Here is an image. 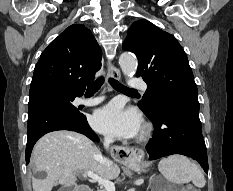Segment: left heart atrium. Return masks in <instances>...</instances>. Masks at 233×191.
Returning <instances> with one entry per match:
<instances>
[{"label": "left heart atrium", "mask_w": 233, "mask_h": 191, "mask_svg": "<svg viewBox=\"0 0 233 191\" xmlns=\"http://www.w3.org/2000/svg\"><path fill=\"white\" fill-rule=\"evenodd\" d=\"M91 122L98 132L121 139L137 136L142 125L140 115L135 110L125 109L119 102H112L98 109Z\"/></svg>", "instance_id": "obj_1"}]
</instances>
